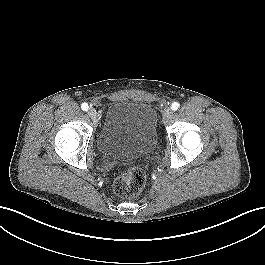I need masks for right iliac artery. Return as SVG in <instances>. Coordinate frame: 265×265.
I'll return each instance as SVG.
<instances>
[{
  "label": "right iliac artery",
  "instance_id": "82829eb1",
  "mask_svg": "<svg viewBox=\"0 0 265 265\" xmlns=\"http://www.w3.org/2000/svg\"><path fill=\"white\" fill-rule=\"evenodd\" d=\"M81 108H82V110L87 111L89 106L87 103H82Z\"/></svg>",
  "mask_w": 265,
  "mask_h": 265
}]
</instances>
